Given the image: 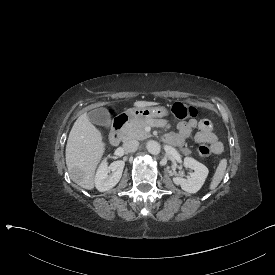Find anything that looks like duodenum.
<instances>
[{"label": "duodenum", "mask_w": 275, "mask_h": 275, "mask_svg": "<svg viewBox=\"0 0 275 275\" xmlns=\"http://www.w3.org/2000/svg\"><path fill=\"white\" fill-rule=\"evenodd\" d=\"M129 121L127 114H121L117 116L113 121L112 130L109 136L110 143L112 145H118L122 139L123 130Z\"/></svg>", "instance_id": "obj_1"}]
</instances>
